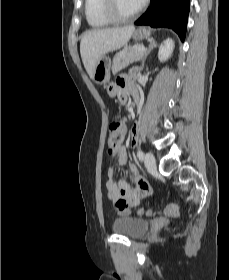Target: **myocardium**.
<instances>
[{
    "instance_id": "1",
    "label": "myocardium",
    "mask_w": 229,
    "mask_h": 280,
    "mask_svg": "<svg viewBox=\"0 0 229 280\" xmlns=\"http://www.w3.org/2000/svg\"><path fill=\"white\" fill-rule=\"evenodd\" d=\"M143 6L138 7V9L130 15H123L117 8L116 0H103L102 13L104 17L112 23H126L135 19L142 11Z\"/></svg>"
}]
</instances>
